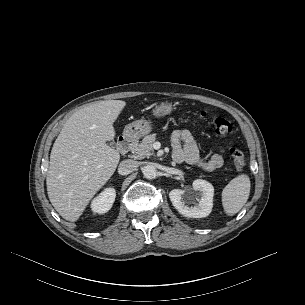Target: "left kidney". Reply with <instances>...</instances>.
I'll use <instances>...</instances> for the list:
<instances>
[{
    "label": "left kidney",
    "mask_w": 305,
    "mask_h": 305,
    "mask_svg": "<svg viewBox=\"0 0 305 305\" xmlns=\"http://www.w3.org/2000/svg\"><path fill=\"white\" fill-rule=\"evenodd\" d=\"M193 189L197 191L195 195L197 204L189 207L191 198L186 195V191L182 189H173L169 192V198L180 214L189 218H204L207 217L213 207L214 187L209 182L197 179L193 182Z\"/></svg>",
    "instance_id": "obj_1"
}]
</instances>
